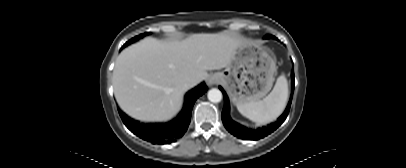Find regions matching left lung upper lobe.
<instances>
[{"label":"left lung upper lobe","instance_id":"left-lung-upper-lobe-1","mask_svg":"<svg viewBox=\"0 0 406 168\" xmlns=\"http://www.w3.org/2000/svg\"><path fill=\"white\" fill-rule=\"evenodd\" d=\"M266 38H275V37L272 35H267Z\"/></svg>","mask_w":406,"mask_h":168}]
</instances>
